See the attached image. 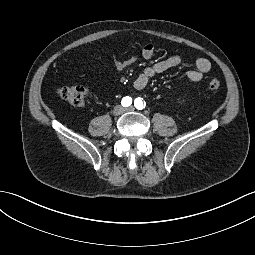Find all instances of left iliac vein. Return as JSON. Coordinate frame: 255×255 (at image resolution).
<instances>
[{
    "mask_svg": "<svg viewBox=\"0 0 255 255\" xmlns=\"http://www.w3.org/2000/svg\"><path fill=\"white\" fill-rule=\"evenodd\" d=\"M132 110H134L133 107H129V108L126 109V111H132Z\"/></svg>",
    "mask_w": 255,
    "mask_h": 255,
    "instance_id": "1",
    "label": "left iliac vein"
}]
</instances>
